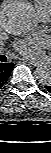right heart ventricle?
<instances>
[{"label":"right heart ventricle","instance_id":"e07e8e85","mask_svg":"<svg viewBox=\"0 0 51 153\" xmlns=\"http://www.w3.org/2000/svg\"><path fill=\"white\" fill-rule=\"evenodd\" d=\"M36 11L40 16L51 13V0H34Z\"/></svg>","mask_w":51,"mask_h":153}]
</instances>
